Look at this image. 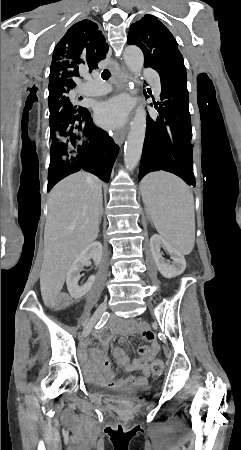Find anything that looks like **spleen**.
<instances>
[{"mask_svg": "<svg viewBox=\"0 0 241 450\" xmlns=\"http://www.w3.org/2000/svg\"><path fill=\"white\" fill-rule=\"evenodd\" d=\"M142 200L160 236L188 256L195 244L193 194L178 176L151 172L140 184Z\"/></svg>", "mask_w": 241, "mask_h": 450, "instance_id": "obj_1", "label": "spleen"}]
</instances>
